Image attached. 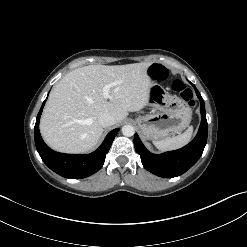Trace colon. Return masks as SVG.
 Listing matches in <instances>:
<instances>
[{
    "label": "colon",
    "mask_w": 247,
    "mask_h": 247,
    "mask_svg": "<svg viewBox=\"0 0 247 247\" xmlns=\"http://www.w3.org/2000/svg\"><path fill=\"white\" fill-rule=\"evenodd\" d=\"M149 75L154 79H164L167 77L168 72L164 67L160 65H152L149 68ZM172 89L190 105L193 104L192 91L182 81L175 80L172 83Z\"/></svg>",
    "instance_id": "colon-1"
}]
</instances>
